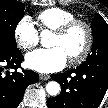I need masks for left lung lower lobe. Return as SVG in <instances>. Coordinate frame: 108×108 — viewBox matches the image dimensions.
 <instances>
[{
  "label": "left lung lower lobe",
  "instance_id": "left-lung-lower-lobe-1",
  "mask_svg": "<svg viewBox=\"0 0 108 108\" xmlns=\"http://www.w3.org/2000/svg\"><path fill=\"white\" fill-rule=\"evenodd\" d=\"M61 85V93L47 101L48 108H98L108 90V63L105 61L80 65L62 74H52ZM76 91L69 99L68 92Z\"/></svg>",
  "mask_w": 108,
  "mask_h": 108
}]
</instances>
